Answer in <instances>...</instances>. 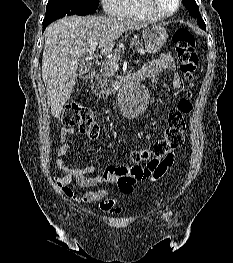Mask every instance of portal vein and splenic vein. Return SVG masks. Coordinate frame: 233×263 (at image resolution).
Wrapping results in <instances>:
<instances>
[{
  "mask_svg": "<svg viewBox=\"0 0 233 263\" xmlns=\"http://www.w3.org/2000/svg\"><path fill=\"white\" fill-rule=\"evenodd\" d=\"M96 46H97V42H93L91 43L90 45V49H89V55H92L93 52L95 51L96 49ZM139 53L141 54H144L145 52L141 49L138 50ZM110 66L113 68V69H117L118 68V62L117 61H111L110 62Z\"/></svg>",
  "mask_w": 233,
  "mask_h": 263,
  "instance_id": "18ae733b",
  "label": "portal vein and splenic vein"
}]
</instances>
